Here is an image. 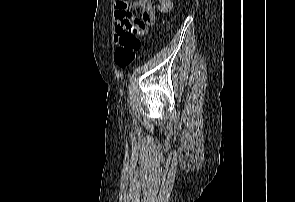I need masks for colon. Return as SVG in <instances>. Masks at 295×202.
Listing matches in <instances>:
<instances>
[{"label": "colon", "instance_id": "colon-1", "mask_svg": "<svg viewBox=\"0 0 295 202\" xmlns=\"http://www.w3.org/2000/svg\"><path fill=\"white\" fill-rule=\"evenodd\" d=\"M141 46L140 28L129 25L125 31L119 35V47L114 53V61L117 66L126 68L135 59V52Z\"/></svg>", "mask_w": 295, "mask_h": 202}]
</instances>
